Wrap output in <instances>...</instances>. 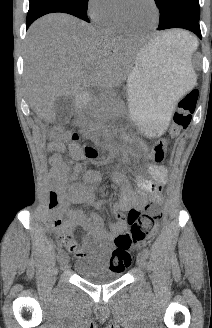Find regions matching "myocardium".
<instances>
[{
  "mask_svg": "<svg viewBox=\"0 0 212 328\" xmlns=\"http://www.w3.org/2000/svg\"><path fill=\"white\" fill-rule=\"evenodd\" d=\"M149 1L155 10L156 18H155V22L151 26L145 27V28H136V27L131 26L128 23V21L126 20L123 12L121 10L120 2H118L116 13H117V17H118L121 25L124 27L125 30H127L130 33H146L157 27L159 20H160V9H159V6H158V3L156 0H149Z\"/></svg>",
  "mask_w": 212,
  "mask_h": 328,
  "instance_id": "1",
  "label": "myocardium"
}]
</instances>
